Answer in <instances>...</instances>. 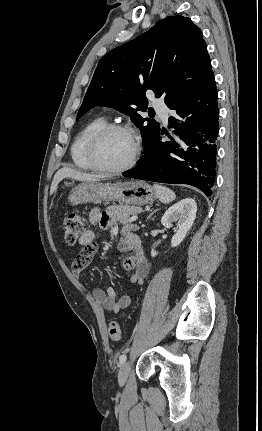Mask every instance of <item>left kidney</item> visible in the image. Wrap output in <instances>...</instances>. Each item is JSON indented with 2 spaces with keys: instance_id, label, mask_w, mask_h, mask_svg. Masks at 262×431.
<instances>
[{
  "instance_id": "1",
  "label": "left kidney",
  "mask_w": 262,
  "mask_h": 431,
  "mask_svg": "<svg viewBox=\"0 0 262 431\" xmlns=\"http://www.w3.org/2000/svg\"><path fill=\"white\" fill-rule=\"evenodd\" d=\"M197 205L192 198H186L171 206L163 215L161 223L165 227H171L176 222V233L171 239V246H178L186 237L196 218ZM157 252L152 249L151 256L155 257Z\"/></svg>"
}]
</instances>
